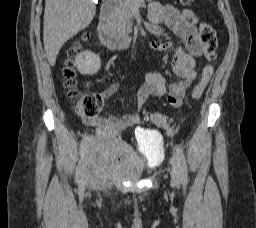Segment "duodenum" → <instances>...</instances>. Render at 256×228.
Segmentation results:
<instances>
[{
    "mask_svg": "<svg viewBox=\"0 0 256 228\" xmlns=\"http://www.w3.org/2000/svg\"><path fill=\"white\" fill-rule=\"evenodd\" d=\"M115 8L110 1L102 5L100 19L97 26V33L101 42L112 50H120L131 44V37L118 33L112 25V17Z\"/></svg>",
    "mask_w": 256,
    "mask_h": 228,
    "instance_id": "1",
    "label": "duodenum"
}]
</instances>
